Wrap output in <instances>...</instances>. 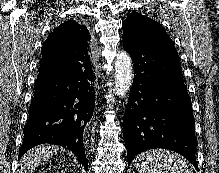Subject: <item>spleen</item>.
I'll return each mask as SVG.
<instances>
[{"label":"spleen","instance_id":"obj_1","mask_svg":"<svg viewBox=\"0 0 219 173\" xmlns=\"http://www.w3.org/2000/svg\"><path fill=\"white\" fill-rule=\"evenodd\" d=\"M139 173H193L179 155L169 150H149L135 160Z\"/></svg>","mask_w":219,"mask_h":173}]
</instances>
